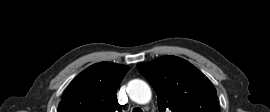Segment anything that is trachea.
<instances>
[{
	"label": "trachea",
	"instance_id": "3493384b",
	"mask_svg": "<svg viewBox=\"0 0 270 112\" xmlns=\"http://www.w3.org/2000/svg\"><path fill=\"white\" fill-rule=\"evenodd\" d=\"M132 112H143L141 108L135 107Z\"/></svg>",
	"mask_w": 270,
	"mask_h": 112
}]
</instances>
